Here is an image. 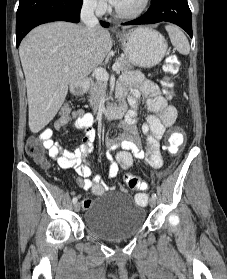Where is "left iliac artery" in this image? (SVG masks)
<instances>
[{
	"instance_id": "left-iliac-artery-1",
	"label": "left iliac artery",
	"mask_w": 227,
	"mask_h": 279,
	"mask_svg": "<svg viewBox=\"0 0 227 279\" xmlns=\"http://www.w3.org/2000/svg\"><path fill=\"white\" fill-rule=\"evenodd\" d=\"M152 197L155 198V199L157 198L156 194H152Z\"/></svg>"
}]
</instances>
